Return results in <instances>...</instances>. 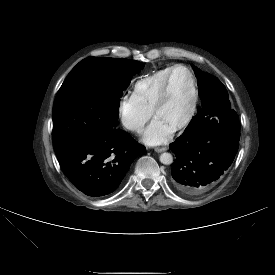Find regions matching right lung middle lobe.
<instances>
[{
  "label": "right lung middle lobe",
  "instance_id": "dd1d6c3e",
  "mask_svg": "<svg viewBox=\"0 0 275 275\" xmlns=\"http://www.w3.org/2000/svg\"><path fill=\"white\" fill-rule=\"evenodd\" d=\"M144 63L89 57L79 62L59 89L53 107V144H63L114 129L119 99Z\"/></svg>",
  "mask_w": 275,
  "mask_h": 275
}]
</instances>
